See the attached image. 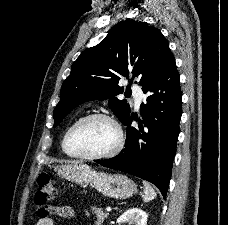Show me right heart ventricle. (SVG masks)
I'll return each mask as SVG.
<instances>
[{"mask_svg":"<svg viewBox=\"0 0 228 225\" xmlns=\"http://www.w3.org/2000/svg\"><path fill=\"white\" fill-rule=\"evenodd\" d=\"M61 146H62V150H63V142H62ZM63 151H64V150H63Z\"/></svg>","mask_w":228,"mask_h":225,"instance_id":"e07e8e85","label":"right heart ventricle"}]
</instances>
